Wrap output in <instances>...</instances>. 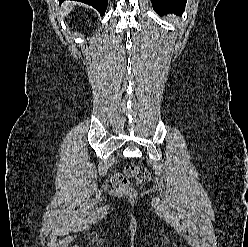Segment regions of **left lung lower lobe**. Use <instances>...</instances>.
<instances>
[{"label": "left lung lower lobe", "mask_w": 248, "mask_h": 247, "mask_svg": "<svg viewBox=\"0 0 248 247\" xmlns=\"http://www.w3.org/2000/svg\"><path fill=\"white\" fill-rule=\"evenodd\" d=\"M187 0H151L153 8L158 13H180L185 9Z\"/></svg>", "instance_id": "obj_1"}]
</instances>
